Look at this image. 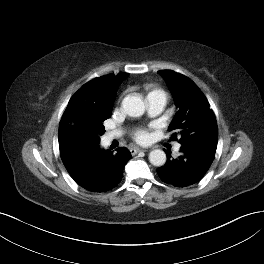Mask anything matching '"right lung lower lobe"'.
I'll list each match as a JSON object with an SVG mask.
<instances>
[{
    "mask_svg": "<svg viewBox=\"0 0 264 264\" xmlns=\"http://www.w3.org/2000/svg\"><path fill=\"white\" fill-rule=\"evenodd\" d=\"M100 140H69L59 142L64 166L74 181L91 192H105L116 187L131 153L124 147L116 152L104 150Z\"/></svg>",
    "mask_w": 264,
    "mask_h": 264,
    "instance_id": "right-lung-lower-lobe-1",
    "label": "right lung lower lobe"
}]
</instances>
